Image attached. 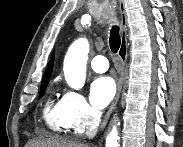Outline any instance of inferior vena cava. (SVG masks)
<instances>
[{
  "label": "inferior vena cava",
  "instance_id": "1",
  "mask_svg": "<svg viewBox=\"0 0 183 147\" xmlns=\"http://www.w3.org/2000/svg\"><path fill=\"white\" fill-rule=\"evenodd\" d=\"M100 117H101V112L98 110H95L93 112V118L86 131V135L88 136L89 139L93 138L96 135L98 130V125L100 122Z\"/></svg>",
  "mask_w": 183,
  "mask_h": 147
}]
</instances>
